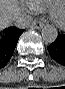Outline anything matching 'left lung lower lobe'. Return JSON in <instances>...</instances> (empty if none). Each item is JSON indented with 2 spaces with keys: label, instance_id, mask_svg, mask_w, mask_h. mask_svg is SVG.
Wrapping results in <instances>:
<instances>
[{
  "label": "left lung lower lobe",
  "instance_id": "0a47b994",
  "mask_svg": "<svg viewBox=\"0 0 65 89\" xmlns=\"http://www.w3.org/2000/svg\"><path fill=\"white\" fill-rule=\"evenodd\" d=\"M47 49L56 62L65 66V32L59 33L56 40Z\"/></svg>",
  "mask_w": 65,
  "mask_h": 89
}]
</instances>
